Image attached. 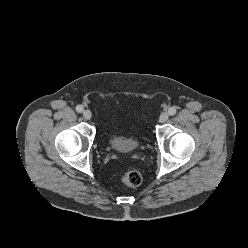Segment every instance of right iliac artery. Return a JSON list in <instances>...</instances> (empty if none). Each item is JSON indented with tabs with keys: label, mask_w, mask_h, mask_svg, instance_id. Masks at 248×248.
Masks as SVG:
<instances>
[{
	"label": "right iliac artery",
	"mask_w": 248,
	"mask_h": 248,
	"mask_svg": "<svg viewBox=\"0 0 248 248\" xmlns=\"http://www.w3.org/2000/svg\"><path fill=\"white\" fill-rule=\"evenodd\" d=\"M83 106L82 105H78L77 107H76V111L78 112V113H81L82 111H83Z\"/></svg>",
	"instance_id": "right-iliac-artery-1"
}]
</instances>
